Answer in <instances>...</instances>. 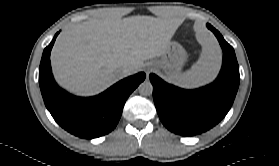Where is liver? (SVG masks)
Instances as JSON below:
<instances>
[{
	"instance_id": "obj_1",
	"label": "liver",
	"mask_w": 279,
	"mask_h": 166,
	"mask_svg": "<svg viewBox=\"0 0 279 166\" xmlns=\"http://www.w3.org/2000/svg\"><path fill=\"white\" fill-rule=\"evenodd\" d=\"M182 21L171 14L106 16L74 25L52 49L54 77L75 94L100 93L123 78V66H131L132 74L144 66V60L162 55Z\"/></svg>"
}]
</instances>
